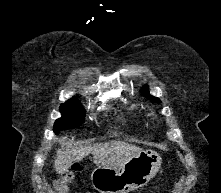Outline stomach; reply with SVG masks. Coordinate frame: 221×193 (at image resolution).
<instances>
[{
	"label": "stomach",
	"mask_w": 221,
	"mask_h": 193,
	"mask_svg": "<svg viewBox=\"0 0 221 193\" xmlns=\"http://www.w3.org/2000/svg\"><path fill=\"white\" fill-rule=\"evenodd\" d=\"M154 151H141L117 168L97 167L91 174L92 186L100 193H128L149 182L161 167Z\"/></svg>",
	"instance_id": "1"
}]
</instances>
